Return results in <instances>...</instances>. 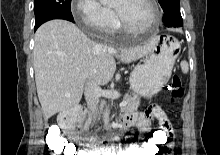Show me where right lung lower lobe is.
I'll list each match as a JSON object with an SVG mask.
<instances>
[{
    "instance_id": "right-lung-lower-lobe-1",
    "label": "right lung lower lobe",
    "mask_w": 220,
    "mask_h": 155,
    "mask_svg": "<svg viewBox=\"0 0 220 155\" xmlns=\"http://www.w3.org/2000/svg\"><path fill=\"white\" fill-rule=\"evenodd\" d=\"M52 19H65V20H68V21H73V17H68V16H63V15H58V16H53V17H50L40 23H37L34 27V29L36 30L41 24H43L44 22L46 21H49V20H52Z\"/></svg>"
}]
</instances>
